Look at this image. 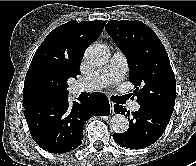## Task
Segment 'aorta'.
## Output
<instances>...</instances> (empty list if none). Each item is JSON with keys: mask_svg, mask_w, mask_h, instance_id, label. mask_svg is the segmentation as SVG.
<instances>
[{"mask_svg": "<svg viewBox=\"0 0 196 166\" xmlns=\"http://www.w3.org/2000/svg\"><path fill=\"white\" fill-rule=\"evenodd\" d=\"M86 61L94 66H102L109 62L110 52L107 46L103 44L90 45L84 55ZM111 127L116 133H124L129 127L128 119L122 114H116L111 119Z\"/></svg>", "mask_w": 196, "mask_h": 166, "instance_id": "obj_1", "label": "aorta"}]
</instances>
